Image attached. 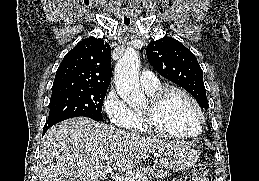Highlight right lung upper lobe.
Masks as SVG:
<instances>
[{"mask_svg": "<svg viewBox=\"0 0 259 181\" xmlns=\"http://www.w3.org/2000/svg\"><path fill=\"white\" fill-rule=\"evenodd\" d=\"M111 49L103 39L90 37L80 41L63 58L52 88H107L111 81Z\"/></svg>", "mask_w": 259, "mask_h": 181, "instance_id": "obj_1", "label": "right lung upper lobe"}]
</instances>
